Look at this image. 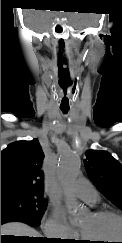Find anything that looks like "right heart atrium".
<instances>
[{
  "mask_svg": "<svg viewBox=\"0 0 122 243\" xmlns=\"http://www.w3.org/2000/svg\"><path fill=\"white\" fill-rule=\"evenodd\" d=\"M43 228L48 236L55 239L75 238L77 236L76 232L63 222L57 211L52 212Z\"/></svg>",
  "mask_w": 122,
  "mask_h": 243,
  "instance_id": "d8ad5b80",
  "label": "right heart atrium"
}]
</instances>
